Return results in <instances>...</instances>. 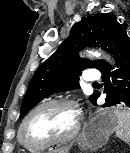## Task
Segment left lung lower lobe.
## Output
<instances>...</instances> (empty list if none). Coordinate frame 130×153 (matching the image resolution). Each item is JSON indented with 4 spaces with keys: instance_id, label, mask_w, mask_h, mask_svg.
Masks as SVG:
<instances>
[{
    "instance_id": "obj_1",
    "label": "left lung lower lobe",
    "mask_w": 130,
    "mask_h": 153,
    "mask_svg": "<svg viewBox=\"0 0 130 153\" xmlns=\"http://www.w3.org/2000/svg\"><path fill=\"white\" fill-rule=\"evenodd\" d=\"M107 51L115 58L118 69L110 72L112 68L107 62L99 69L107 93L103 107H130V40L125 30L114 37Z\"/></svg>"
}]
</instances>
